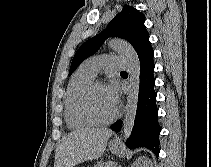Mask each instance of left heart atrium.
<instances>
[{
	"mask_svg": "<svg viewBox=\"0 0 211 167\" xmlns=\"http://www.w3.org/2000/svg\"><path fill=\"white\" fill-rule=\"evenodd\" d=\"M105 91L112 106L116 109L119 102V90L117 84L113 81L110 82L105 86Z\"/></svg>",
	"mask_w": 211,
	"mask_h": 167,
	"instance_id": "39dd6f15",
	"label": "left heart atrium"
}]
</instances>
